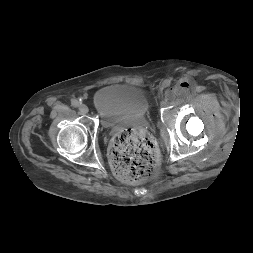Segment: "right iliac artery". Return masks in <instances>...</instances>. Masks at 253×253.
I'll list each match as a JSON object with an SVG mask.
<instances>
[{"mask_svg":"<svg viewBox=\"0 0 253 253\" xmlns=\"http://www.w3.org/2000/svg\"><path fill=\"white\" fill-rule=\"evenodd\" d=\"M71 105L73 107H78L80 105V102L76 99L71 100Z\"/></svg>","mask_w":253,"mask_h":253,"instance_id":"82829eb1","label":"right iliac artery"}]
</instances>
